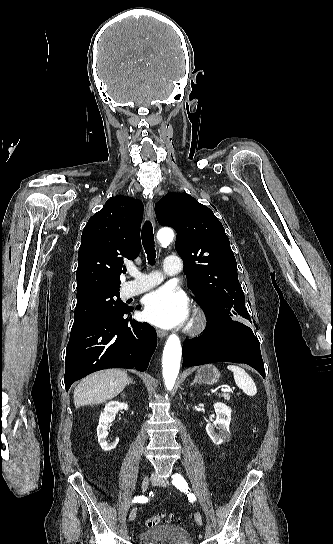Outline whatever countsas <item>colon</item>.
Masks as SVG:
<instances>
[{"mask_svg": "<svg viewBox=\"0 0 333 544\" xmlns=\"http://www.w3.org/2000/svg\"><path fill=\"white\" fill-rule=\"evenodd\" d=\"M168 519H166L164 516L162 515H156V516H151L149 518H147L145 520V525L149 528L151 527H155V526H158L162 523H165L167 522Z\"/></svg>", "mask_w": 333, "mask_h": 544, "instance_id": "1", "label": "colon"}]
</instances>
